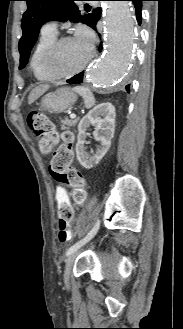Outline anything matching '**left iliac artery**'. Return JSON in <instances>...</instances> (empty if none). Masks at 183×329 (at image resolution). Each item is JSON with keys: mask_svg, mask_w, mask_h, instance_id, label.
<instances>
[{"mask_svg": "<svg viewBox=\"0 0 183 329\" xmlns=\"http://www.w3.org/2000/svg\"><path fill=\"white\" fill-rule=\"evenodd\" d=\"M100 226V220H97L94 227L92 228V230L80 241H78L77 243H75L74 245H72L66 252V255H70L73 251H75L76 249H78L79 247L83 246L85 243H87L91 238H93V236L97 233L98 229Z\"/></svg>", "mask_w": 183, "mask_h": 329, "instance_id": "obj_1", "label": "left iliac artery"}]
</instances>
